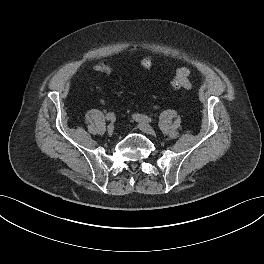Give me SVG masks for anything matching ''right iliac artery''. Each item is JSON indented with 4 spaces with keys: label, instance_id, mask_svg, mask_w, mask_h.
<instances>
[{
    "label": "right iliac artery",
    "instance_id": "1",
    "mask_svg": "<svg viewBox=\"0 0 264 264\" xmlns=\"http://www.w3.org/2000/svg\"><path fill=\"white\" fill-rule=\"evenodd\" d=\"M115 118V114L113 112H109L107 115H106V119L107 120H113Z\"/></svg>",
    "mask_w": 264,
    "mask_h": 264
}]
</instances>
